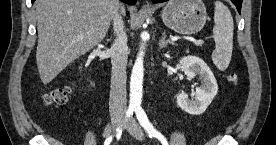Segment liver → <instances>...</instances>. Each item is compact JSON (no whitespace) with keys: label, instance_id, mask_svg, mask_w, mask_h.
I'll list each match as a JSON object with an SVG mask.
<instances>
[{"label":"liver","instance_id":"liver-1","mask_svg":"<svg viewBox=\"0 0 276 145\" xmlns=\"http://www.w3.org/2000/svg\"><path fill=\"white\" fill-rule=\"evenodd\" d=\"M37 67L44 85L105 37L117 0H37ZM122 13H125L122 8ZM82 38V39H81Z\"/></svg>","mask_w":276,"mask_h":145}]
</instances>
